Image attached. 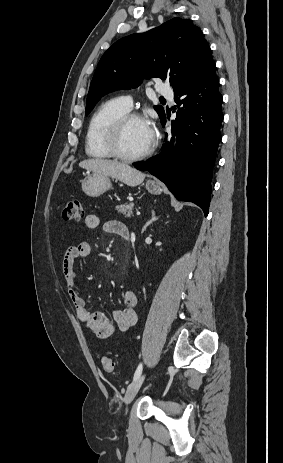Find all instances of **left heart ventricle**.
<instances>
[{
  "instance_id": "left-heart-ventricle-1",
  "label": "left heart ventricle",
  "mask_w": 283,
  "mask_h": 463,
  "mask_svg": "<svg viewBox=\"0 0 283 463\" xmlns=\"http://www.w3.org/2000/svg\"><path fill=\"white\" fill-rule=\"evenodd\" d=\"M150 125L141 120L130 121L120 137V149L128 155H135L145 151L152 142Z\"/></svg>"
}]
</instances>
